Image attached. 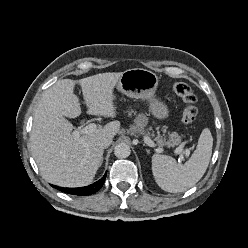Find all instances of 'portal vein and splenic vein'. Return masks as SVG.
I'll list each match as a JSON object with an SVG mask.
<instances>
[{
    "instance_id": "obj_1",
    "label": "portal vein and splenic vein",
    "mask_w": 248,
    "mask_h": 248,
    "mask_svg": "<svg viewBox=\"0 0 248 248\" xmlns=\"http://www.w3.org/2000/svg\"><path fill=\"white\" fill-rule=\"evenodd\" d=\"M97 130V125L95 123H90L89 125L85 126L84 128L80 129V130H76V131H73L72 135L76 138V139H79L80 137V134H89V133H92L94 131ZM145 142L147 145L153 147L154 146V142L149 138V137H145L144 138ZM174 153L175 154H179L181 155L180 158H179V162L181 163L184 159L183 157V153L186 155V156H189V150H185L183 151V148L182 146L180 147H177L175 150H174Z\"/></svg>"
}]
</instances>
